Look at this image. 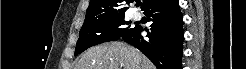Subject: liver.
I'll return each instance as SVG.
<instances>
[{
	"label": "liver",
	"mask_w": 246,
	"mask_h": 69,
	"mask_svg": "<svg viewBox=\"0 0 246 69\" xmlns=\"http://www.w3.org/2000/svg\"><path fill=\"white\" fill-rule=\"evenodd\" d=\"M75 69H155L151 61L134 47L111 42L88 49Z\"/></svg>",
	"instance_id": "6515ba94"
}]
</instances>
